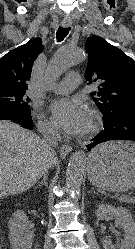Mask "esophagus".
I'll list each match as a JSON object with an SVG mask.
<instances>
[{
    "label": "esophagus",
    "instance_id": "1",
    "mask_svg": "<svg viewBox=\"0 0 135 249\" xmlns=\"http://www.w3.org/2000/svg\"><path fill=\"white\" fill-rule=\"evenodd\" d=\"M61 24L63 27H70L72 25V21L69 19H64L62 20ZM71 151L72 147L68 144H63L59 149L60 155L62 156L68 155Z\"/></svg>",
    "mask_w": 135,
    "mask_h": 249
}]
</instances>
